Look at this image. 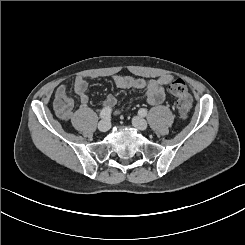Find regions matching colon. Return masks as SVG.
I'll list each match as a JSON object with an SVG mask.
<instances>
[{"instance_id": "colon-1", "label": "colon", "mask_w": 245, "mask_h": 245, "mask_svg": "<svg viewBox=\"0 0 245 245\" xmlns=\"http://www.w3.org/2000/svg\"><path fill=\"white\" fill-rule=\"evenodd\" d=\"M170 91L176 98L177 109L182 118H186L192 108V97L186 83L182 79H175L170 83Z\"/></svg>"}]
</instances>
